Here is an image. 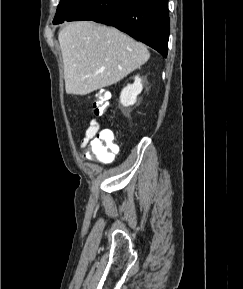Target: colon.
I'll return each mask as SVG.
<instances>
[{"label":"colon","mask_w":243,"mask_h":289,"mask_svg":"<svg viewBox=\"0 0 243 289\" xmlns=\"http://www.w3.org/2000/svg\"><path fill=\"white\" fill-rule=\"evenodd\" d=\"M109 105V93L99 90L94 93L92 108L97 116H102ZM118 146L114 142L113 132L109 129L102 130L86 147L85 157L97 159L104 163L113 160Z\"/></svg>","instance_id":"1"}]
</instances>
